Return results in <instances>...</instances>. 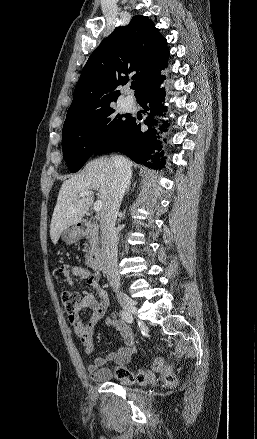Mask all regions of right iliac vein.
I'll return each instance as SVG.
<instances>
[{"label":"right iliac vein","mask_w":257,"mask_h":439,"mask_svg":"<svg viewBox=\"0 0 257 439\" xmlns=\"http://www.w3.org/2000/svg\"><path fill=\"white\" fill-rule=\"evenodd\" d=\"M117 300L122 308L129 313H136V302L123 292L117 293Z\"/></svg>","instance_id":"63e3f726"}]
</instances>
